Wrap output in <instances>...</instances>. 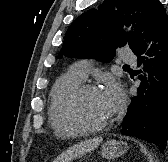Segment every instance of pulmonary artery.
Returning a JSON list of instances; mask_svg holds the SVG:
<instances>
[{"instance_id": "1", "label": "pulmonary artery", "mask_w": 168, "mask_h": 162, "mask_svg": "<svg viewBox=\"0 0 168 162\" xmlns=\"http://www.w3.org/2000/svg\"><path fill=\"white\" fill-rule=\"evenodd\" d=\"M121 60L126 63H131L135 61V58L129 53H123L121 55ZM91 65L92 62L89 60H79L75 64H73L71 71L81 80H85Z\"/></svg>"}]
</instances>
